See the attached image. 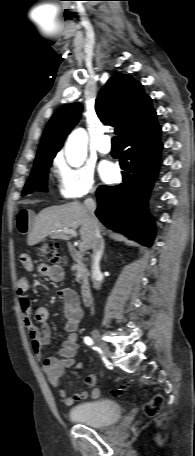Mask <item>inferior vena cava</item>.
Returning a JSON list of instances; mask_svg holds the SVG:
<instances>
[{
	"instance_id": "inferior-vena-cava-1",
	"label": "inferior vena cava",
	"mask_w": 195,
	"mask_h": 456,
	"mask_svg": "<svg viewBox=\"0 0 195 456\" xmlns=\"http://www.w3.org/2000/svg\"><path fill=\"white\" fill-rule=\"evenodd\" d=\"M84 205L89 213L90 220L94 229V242L92 254V281L95 289H100L101 282L98 279L102 276L100 271V260L104 251V240L101 236L100 224L95 216L96 203L89 197L85 200Z\"/></svg>"
}]
</instances>
